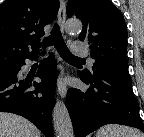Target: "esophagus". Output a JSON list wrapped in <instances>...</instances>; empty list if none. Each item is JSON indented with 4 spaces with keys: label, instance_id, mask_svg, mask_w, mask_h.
<instances>
[{
    "label": "esophagus",
    "instance_id": "1",
    "mask_svg": "<svg viewBox=\"0 0 144 137\" xmlns=\"http://www.w3.org/2000/svg\"><path fill=\"white\" fill-rule=\"evenodd\" d=\"M65 20H66V6H65V2L61 0L60 8L58 11V22L62 31L64 29ZM63 73H64V69L60 68V74L57 79V89H58V93L62 98H64L67 93V86L63 78Z\"/></svg>",
    "mask_w": 144,
    "mask_h": 137
}]
</instances>
